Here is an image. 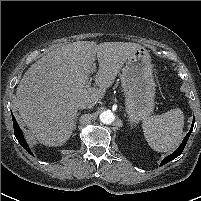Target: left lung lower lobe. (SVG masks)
Listing matches in <instances>:
<instances>
[{
  "label": "left lung lower lobe",
  "mask_w": 201,
  "mask_h": 201,
  "mask_svg": "<svg viewBox=\"0 0 201 201\" xmlns=\"http://www.w3.org/2000/svg\"><path fill=\"white\" fill-rule=\"evenodd\" d=\"M193 126H194V119H193V123H192V126H191V129L190 131L187 133L186 137L183 139L181 145L178 147V149L172 153L171 155L167 156L166 158H164L160 164V166L172 161L173 159H175L176 157H178L184 150L186 144H187V141L191 135V132L193 130Z\"/></svg>",
  "instance_id": "1"
}]
</instances>
